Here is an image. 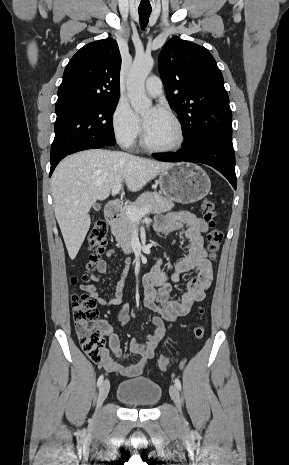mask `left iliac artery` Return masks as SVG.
Wrapping results in <instances>:
<instances>
[{
	"label": "left iliac artery",
	"instance_id": "44dca946",
	"mask_svg": "<svg viewBox=\"0 0 289 465\" xmlns=\"http://www.w3.org/2000/svg\"><path fill=\"white\" fill-rule=\"evenodd\" d=\"M175 386H176L179 390H181V382H180V380H179L178 378L175 379Z\"/></svg>",
	"mask_w": 289,
	"mask_h": 465
}]
</instances>
